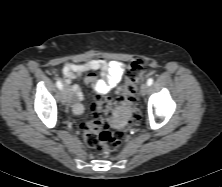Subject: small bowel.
<instances>
[{
    "instance_id": "small-bowel-1",
    "label": "small bowel",
    "mask_w": 222,
    "mask_h": 187,
    "mask_svg": "<svg viewBox=\"0 0 222 187\" xmlns=\"http://www.w3.org/2000/svg\"><path fill=\"white\" fill-rule=\"evenodd\" d=\"M100 71L102 77L98 78L95 74ZM125 66L120 61H106L104 59H92L82 64L65 63L62 68V75L67 89L72 98L73 111L75 114H81L84 107L81 101L84 99V93L78 85L71 84L72 80L86 74L85 84L91 85L96 93L103 96L111 90L120 93L122 91V79Z\"/></svg>"
}]
</instances>
